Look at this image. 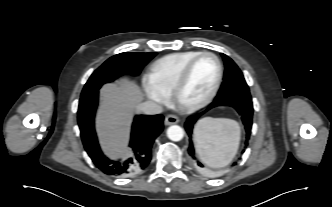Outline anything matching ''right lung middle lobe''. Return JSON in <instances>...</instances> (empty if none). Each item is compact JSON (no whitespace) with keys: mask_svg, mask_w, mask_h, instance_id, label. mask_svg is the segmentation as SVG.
Masks as SVG:
<instances>
[{"mask_svg":"<svg viewBox=\"0 0 332 207\" xmlns=\"http://www.w3.org/2000/svg\"><path fill=\"white\" fill-rule=\"evenodd\" d=\"M155 55L156 53L125 52L109 58L90 76L81 97L97 92L103 84L112 82L122 75H139L142 68Z\"/></svg>","mask_w":332,"mask_h":207,"instance_id":"dd1d6c3e","label":"right lung middle lobe"}]
</instances>
